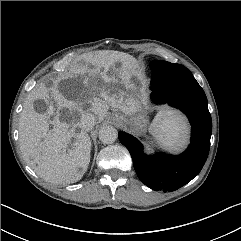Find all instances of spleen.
Wrapping results in <instances>:
<instances>
[{"label": "spleen", "mask_w": 241, "mask_h": 241, "mask_svg": "<svg viewBox=\"0 0 241 241\" xmlns=\"http://www.w3.org/2000/svg\"><path fill=\"white\" fill-rule=\"evenodd\" d=\"M188 129L185 119L180 114L163 110L151 125L150 132L158 144L169 150L178 151L186 144Z\"/></svg>", "instance_id": "3e777b00"}]
</instances>
